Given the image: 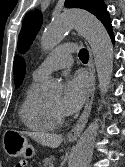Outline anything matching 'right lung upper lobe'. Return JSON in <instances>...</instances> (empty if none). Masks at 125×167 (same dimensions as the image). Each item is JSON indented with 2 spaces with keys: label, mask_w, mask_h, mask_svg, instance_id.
Listing matches in <instances>:
<instances>
[{
  "label": "right lung upper lobe",
  "mask_w": 125,
  "mask_h": 167,
  "mask_svg": "<svg viewBox=\"0 0 125 167\" xmlns=\"http://www.w3.org/2000/svg\"><path fill=\"white\" fill-rule=\"evenodd\" d=\"M25 75V62L20 57L14 59V80L15 85L20 86Z\"/></svg>",
  "instance_id": "cb5924a9"
}]
</instances>
